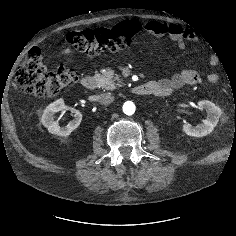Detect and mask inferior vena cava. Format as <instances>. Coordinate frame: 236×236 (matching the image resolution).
<instances>
[{"mask_svg": "<svg viewBox=\"0 0 236 236\" xmlns=\"http://www.w3.org/2000/svg\"><path fill=\"white\" fill-rule=\"evenodd\" d=\"M114 101V96L111 94L105 93L99 95V102L103 105H108Z\"/></svg>", "mask_w": 236, "mask_h": 236, "instance_id": "obj_1", "label": "inferior vena cava"}]
</instances>
